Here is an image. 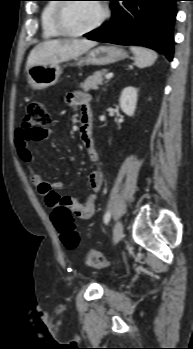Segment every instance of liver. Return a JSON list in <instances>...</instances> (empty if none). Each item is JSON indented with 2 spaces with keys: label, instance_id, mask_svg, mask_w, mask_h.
<instances>
[{
  "label": "liver",
  "instance_id": "liver-1",
  "mask_svg": "<svg viewBox=\"0 0 193 349\" xmlns=\"http://www.w3.org/2000/svg\"><path fill=\"white\" fill-rule=\"evenodd\" d=\"M97 45L86 39H56L36 45L30 52L26 72L34 65H47L76 59Z\"/></svg>",
  "mask_w": 193,
  "mask_h": 349
}]
</instances>
